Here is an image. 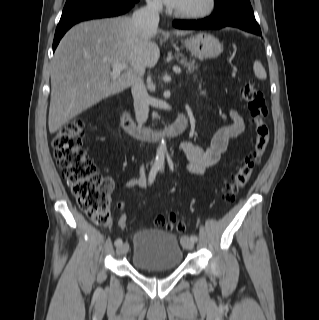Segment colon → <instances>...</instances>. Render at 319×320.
<instances>
[{
	"mask_svg": "<svg viewBox=\"0 0 319 320\" xmlns=\"http://www.w3.org/2000/svg\"><path fill=\"white\" fill-rule=\"evenodd\" d=\"M242 97L247 104L254 126V140L249 154L237 167L232 177L222 188L226 203L234 201L237 192L249 181L255 166L260 163L269 143V126L266 122L267 107L262 91L254 81H248L242 88ZM85 121L76 118L66 123L54 136L52 147L62 176L71 186L79 207L96 224L104 225L110 220L109 195L112 183L101 175L82 145ZM121 228L127 227L124 215L118 221ZM158 228L175 229L182 233L186 224L176 215H158L154 219Z\"/></svg>",
	"mask_w": 319,
	"mask_h": 320,
	"instance_id": "5ec220e1",
	"label": "colon"
}]
</instances>
